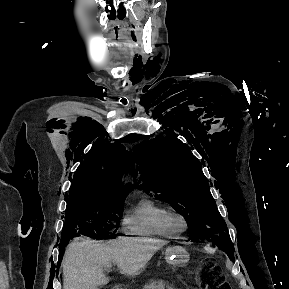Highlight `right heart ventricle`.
Returning <instances> with one entry per match:
<instances>
[{"label":"right heart ventricle","mask_w":289,"mask_h":289,"mask_svg":"<svg viewBox=\"0 0 289 289\" xmlns=\"http://www.w3.org/2000/svg\"><path fill=\"white\" fill-rule=\"evenodd\" d=\"M167 211L166 207L144 194L125 209L123 228L127 233L137 236L174 238L178 233L167 225L165 221Z\"/></svg>","instance_id":"1"}]
</instances>
